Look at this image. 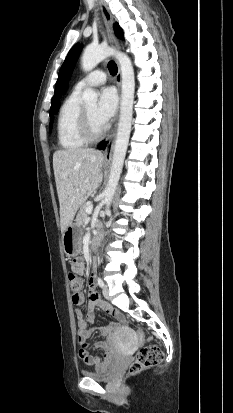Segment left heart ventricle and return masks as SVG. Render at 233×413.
Segmentation results:
<instances>
[{"label": "left heart ventricle", "mask_w": 233, "mask_h": 413, "mask_svg": "<svg viewBox=\"0 0 233 413\" xmlns=\"http://www.w3.org/2000/svg\"><path fill=\"white\" fill-rule=\"evenodd\" d=\"M86 109L88 111V114L90 116V119L92 121L93 127L95 130H99L102 126L99 124L96 118V109H97V104H89L86 106Z\"/></svg>", "instance_id": "1"}]
</instances>
